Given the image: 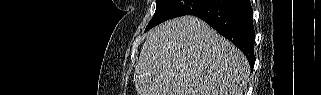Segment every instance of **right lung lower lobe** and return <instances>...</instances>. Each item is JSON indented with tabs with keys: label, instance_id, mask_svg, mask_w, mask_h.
<instances>
[{
	"label": "right lung lower lobe",
	"instance_id": "obj_1",
	"mask_svg": "<svg viewBox=\"0 0 321 95\" xmlns=\"http://www.w3.org/2000/svg\"><path fill=\"white\" fill-rule=\"evenodd\" d=\"M190 15L201 18L234 43L253 68L255 31L250 0H210Z\"/></svg>",
	"mask_w": 321,
	"mask_h": 95
}]
</instances>
